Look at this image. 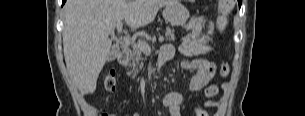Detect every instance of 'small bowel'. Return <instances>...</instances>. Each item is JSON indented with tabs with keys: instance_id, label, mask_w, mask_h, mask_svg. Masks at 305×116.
Listing matches in <instances>:
<instances>
[{
	"instance_id": "small-bowel-1",
	"label": "small bowel",
	"mask_w": 305,
	"mask_h": 116,
	"mask_svg": "<svg viewBox=\"0 0 305 116\" xmlns=\"http://www.w3.org/2000/svg\"><path fill=\"white\" fill-rule=\"evenodd\" d=\"M174 47L170 44L162 47L160 51V61L167 62L174 56ZM180 66L191 73L189 88L192 91L204 89V94L208 100L204 103L205 108H215L218 102L213 98L219 93V88L210 82L216 75V65L207 59L198 58L191 61H182ZM184 97L180 93L171 92L164 96L163 105L169 110L170 116H181ZM196 116H209L202 108L195 107ZM138 116V115H135Z\"/></svg>"
}]
</instances>
